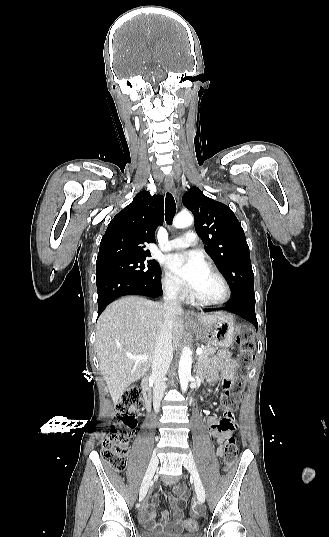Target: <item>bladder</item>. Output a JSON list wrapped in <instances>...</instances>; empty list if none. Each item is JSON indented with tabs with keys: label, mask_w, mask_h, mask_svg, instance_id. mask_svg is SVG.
Wrapping results in <instances>:
<instances>
[{
	"label": "bladder",
	"mask_w": 329,
	"mask_h": 537,
	"mask_svg": "<svg viewBox=\"0 0 329 537\" xmlns=\"http://www.w3.org/2000/svg\"><path fill=\"white\" fill-rule=\"evenodd\" d=\"M142 537H200L198 531H191L183 534L158 533L151 530H143Z\"/></svg>",
	"instance_id": "1"
}]
</instances>
